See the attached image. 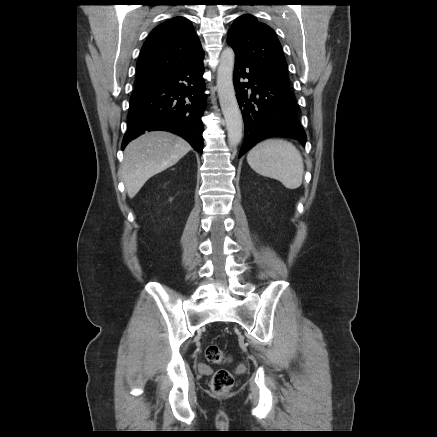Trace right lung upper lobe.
Instances as JSON below:
<instances>
[{
  "label": "right lung upper lobe",
  "instance_id": "right-lung-upper-lobe-1",
  "mask_svg": "<svg viewBox=\"0 0 437 437\" xmlns=\"http://www.w3.org/2000/svg\"><path fill=\"white\" fill-rule=\"evenodd\" d=\"M203 56L191 22L184 17H174L154 28L145 41L137 61V83H151Z\"/></svg>",
  "mask_w": 437,
  "mask_h": 437
}]
</instances>
